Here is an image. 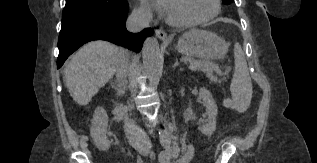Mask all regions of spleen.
Here are the masks:
<instances>
[{"mask_svg": "<svg viewBox=\"0 0 317 163\" xmlns=\"http://www.w3.org/2000/svg\"><path fill=\"white\" fill-rule=\"evenodd\" d=\"M235 70L230 90L234 107L239 112L247 110L252 98V82L244 52L239 43L234 46Z\"/></svg>", "mask_w": 317, "mask_h": 163, "instance_id": "obj_1", "label": "spleen"}]
</instances>
